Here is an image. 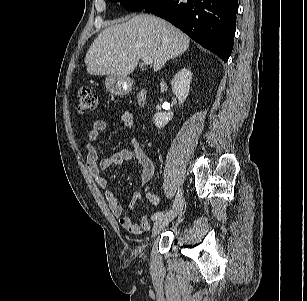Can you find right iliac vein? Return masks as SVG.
<instances>
[{"label": "right iliac vein", "mask_w": 307, "mask_h": 301, "mask_svg": "<svg viewBox=\"0 0 307 301\" xmlns=\"http://www.w3.org/2000/svg\"><path fill=\"white\" fill-rule=\"evenodd\" d=\"M183 206L184 201L181 200L174 208L160 217L153 225L152 236H156L162 229H164L179 214Z\"/></svg>", "instance_id": "1"}]
</instances>
